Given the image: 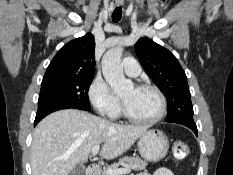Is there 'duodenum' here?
<instances>
[{"mask_svg": "<svg viewBox=\"0 0 233 175\" xmlns=\"http://www.w3.org/2000/svg\"><path fill=\"white\" fill-rule=\"evenodd\" d=\"M86 175H98V168L96 165L91 164L86 169Z\"/></svg>", "mask_w": 233, "mask_h": 175, "instance_id": "410a0bca", "label": "duodenum"}]
</instances>
